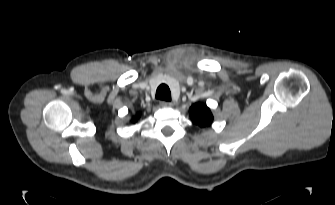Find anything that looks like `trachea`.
<instances>
[{"label": "trachea", "mask_w": 335, "mask_h": 205, "mask_svg": "<svg viewBox=\"0 0 335 205\" xmlns=\"http://www.w3.org/2000/svg\"><path fill=\"white\" fill-rule=\"evenodd\" d=\"M156 98L163 101H171V92L166 84H161L156 91Z\"/></svg>", "instance_id": "obj_1"}]
</instances>
